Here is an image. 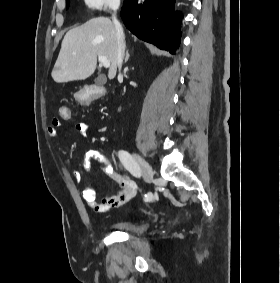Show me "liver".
I'll return each instance as SVG.
<instances>
[{
  "label": "liver",
  "mask_w": 280,
  "mask_h": 283,
  "mask_svg": "<svg viewBox=\"0 0 280 283\" xmlns=\"http://www.w3.org/2000/svg\"><path fill=\"white\" fill-rule=\"evenodd\" d=\"M99 55L110 61L108 78L114 79L117 73L116 30L106 17L90 19L66 33L52 70L53 80L65 83L88 78L96 69Z\"/></svg>",
  "instance_id": "6515ba94"
}]
</instances>
